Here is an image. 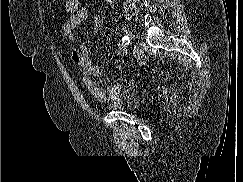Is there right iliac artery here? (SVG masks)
<instances>
[{
  "mask_svg": "<svg viewBox=\"0 0 243 182\" xmlns=\"http://www.w3.org/2000/svg\"><path fill=\"white\" fill-rule=\"evenodd\" d=\"M122 44L124 46H128L130 44V38L128 36H123L122 37Z\"/></svg>",
  "mask_w": 243,
  "mask_h": 182,
  "instance_id": "right-iliac-artery-1",
  "label": "right iliac artery"
}]
</instances>
